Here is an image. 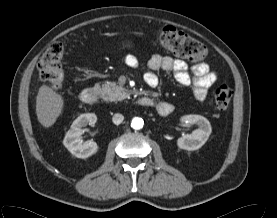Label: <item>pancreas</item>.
Returning a JSON list of instances; mask_svg holds the SVG:
<instances>
[{
    "mask_svg": "<svg viewBox=\"0 0 277 218\" xmlns=\"http://www.w3.org/2000/svg\"><path fill=\"white\" fill-rule=\"evenodd\" d=\"M99 90L101 97L106 101H122L129 97L130 92L128 89L117 85L115 82H105L101 86L95 85Z\"/></svg>",
    "mask_w": 277,
    "mask_h": 218,
    "instance_id": "obj_1",
    "label": "pancreas"
}]
</instances>
